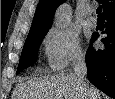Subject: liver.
Here are the masks:
<instances>
[{
  "instance_id": "liver-1",
  "label": "liver",
  "mask_w": 115,
  "mask_h": 99,
  "mask_svg": "<svg viewBox=\"0 0 115 99\" xmlns=\"http://www.w3.org/2000/svg\"><path fill=\"white\" fill-rule=\"evenodd\" d=\"M89 99H101L100 92L89 87ZM12 99H82L73 73H58L52 76L35 77L20 82Z\"/></svg>"
}]
</instances>
